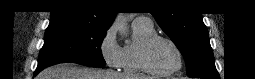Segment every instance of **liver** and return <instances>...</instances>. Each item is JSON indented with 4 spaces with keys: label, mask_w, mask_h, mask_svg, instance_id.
Returning a JSON list of instances; mask_svg holds the SVG:
<instances>
[{
    "label": "liver",
    "mask_w": 255,
    "mask_h": 79,
    "mask_svg": "<svg viewBox=\"0 0 255 79\" xmlns=\"http://www.w3.org/2000/svg\"><path fill=\"white\" fill-rule=\"evenodd\" d=\"M38 79H149L147 76H128L110 70L79 67L62 63L44 69Z\"/></svg>",
    "instance_id": "obj_1"
}]
</instances>
